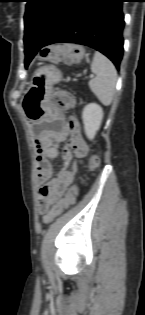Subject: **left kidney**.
<instances>
[{
    "label": "left kidney",
    "instance_id": "5707ae66",
    "mask_svg": "<svg viewBox=\"0 0 145 315\" xmlns=\"http://www.w3.org/2000/svg\"><path fill=\"white\" fill-rule=\"evenodd\" d=\"M103 119V110L96 103L86 105L82 112L84 131L88 139H94Z\"/></svg>",
    "mask_w": 145,
    "mask_h": 315
}]
</instances>
